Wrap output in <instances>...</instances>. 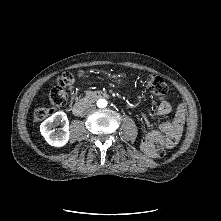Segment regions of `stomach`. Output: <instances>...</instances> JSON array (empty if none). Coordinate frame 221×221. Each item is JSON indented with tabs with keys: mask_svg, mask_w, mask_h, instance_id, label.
Instances as JSON below:
<instances>
[{
	"mask_svg": "<svg viewBox=\"0 0 221 221\" xmlns=\"http://www.w3.org/2000/svg\"><path fill=\"white\" fill-rule=\"evenodd\" d=\"M113 78H114V79H117L118 77H117V75H114Z\"/></svg>",
	"mask_w": 221,
	"mask_h": 221,
	"instance_id": "0dacf381",
	"label": "stomach"
}]
</instances>
